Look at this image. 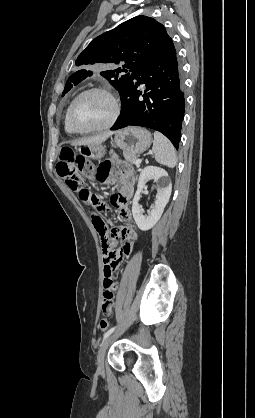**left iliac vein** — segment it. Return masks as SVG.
<instances>
[{
    "label": "left iliac vein",
    "instance_id": "4c4485c4",
    "mask_svg": "<svg viewBox=\"0 0 255 418\" xmlns=\"http://www.w3.org/2000/svg\"><path fill=\"white\" fill-rule=\"evenodd\" d=\"M112 335L108 336L103 343L100 346V349L98 351V355H97V365H98V371L100 374L104 373V359H105V355L107 352V349L110 345V342L112 340Z\"/></svg>",
    "mask_w": 255,
    "mask_h": 418
}]
</instances>
